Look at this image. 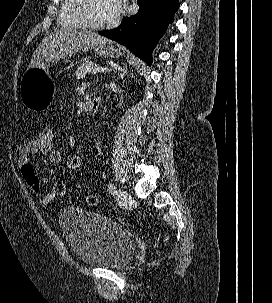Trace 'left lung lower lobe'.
Wrapping results in <instances>:
<instances>
[{
    "instance_id": "0a47b994",
    "label": "left lung lower lobe",
    "mask_w": 272,
    "mask_h": 303,
    "mask_svg": "<svg viewBox=\"0 0 272 303\" xmlns=\"http://www.w3.org/2000/svg\"><path fill=\"white\" fill-rule=\"evenodd\" d=\"M138 4L141 7L136 15L126 17L117 28L99 34L126 46L151 65L152 51L174 21L179 0H138Z\"/></svg>"
}]
</instances>
